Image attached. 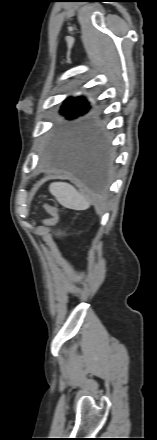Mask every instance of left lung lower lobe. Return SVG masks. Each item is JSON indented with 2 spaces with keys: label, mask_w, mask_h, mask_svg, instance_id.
<instances>
[{
  "label": "left lung lower lobe",
  "mask_w": 157,
  "mask_h": 440,
  "mask_svg": "<svg viewBox=\"0 0 157 440\" xmlns=\"http://www.w3.org/2000/svg\"><path fill=\"white\" fill-rule=\"evenodd\" d=\"M63 166L78 175L89 186L102 189L111 166L107 136L103 132L75 137Z\"/></svg>",
  "instance_id": "left-lung-lower-lobe-1"
}]
</instances>
